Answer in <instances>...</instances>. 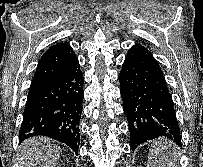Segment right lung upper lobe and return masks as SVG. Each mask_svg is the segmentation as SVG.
Returning a JSON list of instances; mask_svg holds the SVG:
<instances>
[{
	"label": "right lung upper lobe",
	"mask_w": 203,
	"mask_h": 167,
	"mask_svg": "<svg viewBox=\"0 0 203 167\" xmlns=\"http://www.w3.org/2000/svg\"><path fill=\"white\" fill-rule=\"evenodd\" d=\"M75 59L76 56L67 42L53 45L39 60L30 89L44 85L65 70Z\"/></svg>",
	"instance_id": "right-lung-upper-lobe-1"
}]
</instances>
